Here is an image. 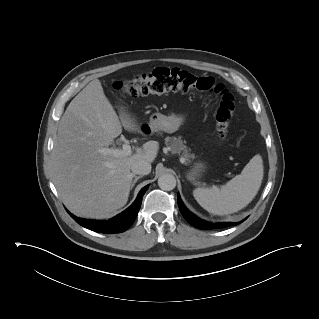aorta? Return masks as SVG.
<instances>
[{"instance_id": "aorta-1", "label": "aorta", "mask_w": 319, "mask_h": 319, "mask_svg": "<svg viewBox=\"0 0 319 319\" xmlns=\"http://www.w3.org/2000/svg\"><path fill=\"white\" fill-rule=\"evenodd\" d=\"M158 185L162 190L171 191L176 187V178L172 174H163L158 178Z\"/></svg>"}]
</instances>
